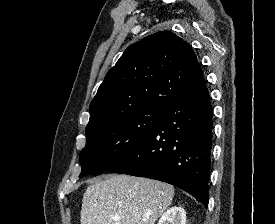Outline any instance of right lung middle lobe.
I'll use <instances>...</instances> for the list:
<instances>
[{
	"label": "right lung middle lobe",
	"mask_w": 275,
	"mask_h": 224,
	"mask_svg": "<svg viewBox=\"0 0 275 224\" xmlns=\"http://www.w3.org/2000/svg\"><path fill=\"white\" fill-rule=\"evenodd\" d=\"M164 112L146 107L86 128V146L79 157L80 177L107 171L121 161L150 135Z\"/></svg>",
	"instance_id": "dd1d6c3e"
}]
</instances>
